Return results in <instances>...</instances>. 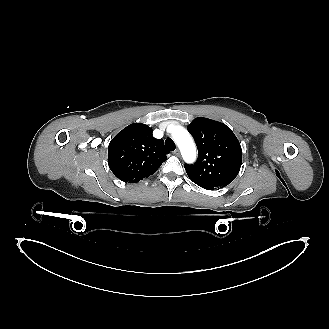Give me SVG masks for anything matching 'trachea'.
Returning a JSON list of instances; mask_svg holds the SVG:
<instances>
[{"instance_id": "1", "label": "trachea", "mask_w": 329, "mask_h": 329, "mask_svg": "<svg viewBox=\"0 0 329 329\" xmlns=\"http://www.w3.org/2000/svg\"><path fill=\"white\" fill-rule=\"evenodd\" d=\"M165 146L167 147V149H169V150H171V151H173V150H175V143L173 142V140L172 139H166V141H165Z\"/></svg>"}]
</instances>
